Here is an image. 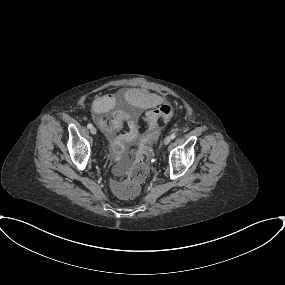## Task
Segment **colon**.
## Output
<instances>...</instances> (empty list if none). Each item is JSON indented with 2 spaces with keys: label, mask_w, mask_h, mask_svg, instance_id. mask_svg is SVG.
<instances>
[{
  "label": "colon",
  "mask_w": 285,
  "mask_h": 285,
  "mask_svg": "<svg viewBox=\"0 0 285 285\" xmlns=\"http://www.w3.org/2000/svg\"><path fill=\"white\" fill-rule=\"evenodd\" d=\"M144 124L147 129L158 127L160 120L155 117L154 111H149L144 116ZM147 174V165L142 160H137L128 170L127 174L114 183L113 189L117 196L123 199H131L138 195L140 184Z\"/></svg>",
  "instance_id": "obj_1"
}]
</instances>
